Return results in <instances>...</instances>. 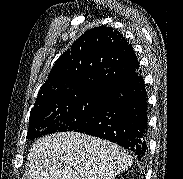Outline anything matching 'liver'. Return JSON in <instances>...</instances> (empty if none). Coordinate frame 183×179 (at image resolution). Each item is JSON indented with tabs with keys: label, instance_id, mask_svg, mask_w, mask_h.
<instances>
[{
	"label": "liver",
	"instance_id": "6515ba94",
	"mask_svg": "<svg viewBox=\"0 0 183 179\" xmlns=\"http://www.w3.org/2000/svg\"><path fill=\"white\" fill-rule=\"evenodd\" d=\"M132 163L131 155L117 144L61 132L32 145L22 179H114Z\"/></svg>",
	"mask_w": 183,
	"mask_h": 179
}]
</instances>
